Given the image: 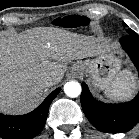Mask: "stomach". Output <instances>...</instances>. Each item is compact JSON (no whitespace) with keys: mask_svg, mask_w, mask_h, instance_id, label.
Segmentation results:
<instances>
[{"mask_svg":"<svg viewBox=\"0 0 139 139\" xmlns=\"http://www.w3.org/2000/svg\"><path fill=\"white\" fill-rule=\"evenodd\" d=\"M98 55L97 59L77 61L72 66V72L88 73L91 75L95 87L107 89L117 75L120 66L119 60L113 55H105L101 49Z\"/></svg>","mask_w":139,"mask_h":139,"instance_id":"stomach-1","label":"stomach"}]
</instances>
